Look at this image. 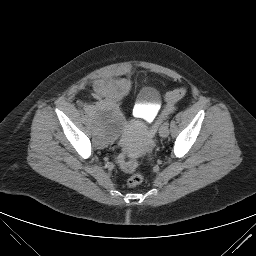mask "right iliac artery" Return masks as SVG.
<instances>
[{
	"label": "right iliac artery",
	"mask_w": 256,
	"mask_h": 256,
	"mask_svg": "<svg viewBox=\"0 0 256 256\" xmlns=\"http://www.w3.org/2000/svg\"><path fill=\"white\" fill-rule=\"evenodd\" d=\"M84 111H85L87 114L92 113L91 108H90L89 106H86V107L84 108Z\"/></svg>",
	"instance_id": "obj_1"
}]
</instances>
